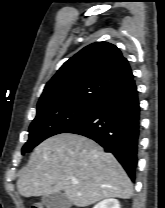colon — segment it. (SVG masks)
I'll return each mask as SVG.
<instances>
[{"mask_svg":"<svg viewBox=\"0 0 165 208\" xmlns=\"http://www.w3.org/2000/svg\"><path fill=\"white\" fill-rule=\"evenodd\" d=\"M31 208H43L40 204H34Z\"/></svg>","mask_w":165,"mask_h":208,"instance_id":"5ec220e1","label":"colon"}]
</instances>
